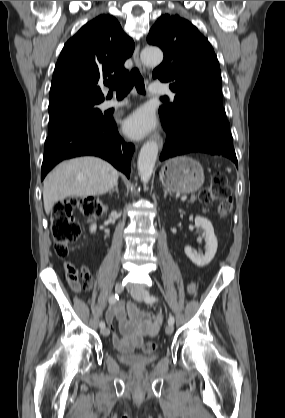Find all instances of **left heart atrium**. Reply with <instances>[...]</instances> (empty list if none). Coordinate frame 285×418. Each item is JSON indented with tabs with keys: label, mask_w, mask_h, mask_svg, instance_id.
<instances>
[{
	"label": "left heart atrium",
	"mask_w": 285,
	"mask_h": 418,
	"mask_svg": "<svg viewBox=\"0 0 285 418\" xmlns=\"http://www.w3.org/2000/svg\"><path fill=\"white\" fill-rule=\"evenodd\" d=\"M156 127V118L148 107L134 110L123 122V130L132 139H142Z\"/></svg>",
	"instance_id": "39dd6f15"
}]
</instances>
